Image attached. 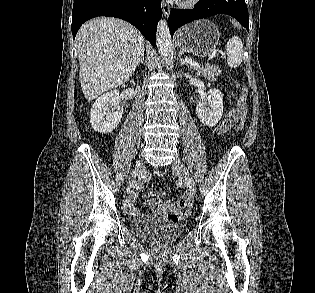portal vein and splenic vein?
Listing matches in <instances>:
<instances>
[{
  "label": "portal vein and splenic vein",
  "instance_id": "18ae733b",
  "mask_svg": "<svg viewBox=\"0 0 315 293\" xmlns=\"http://www.w3.org/2000/svg\"><path fill=\"white\" fill-rule=\"evenodd\" d=\"M185 61H186L188 64L192 65V66H197V65H199L198 63L192 61V59H190V58H185Z\"/></svg>",
  "mask_w": 315,
  "mask_h": 293
}]
</instances>
